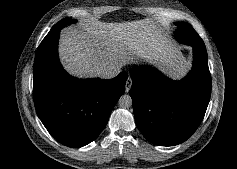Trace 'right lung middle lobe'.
Listing matches in <instances>:
<instances>
[{"label":"right lung middle lobe","mask_w":237,"mask_h":169,"mask_svg":"<svg viewBox=\"0 0 237 169\" xmlns=\"http://www.w3.org/2000/svg\"><path fill=\"white\" fill-rule=\"evenodd\" d=\"M75 20H71L70 18H64L61 21H59L48 34H53L56 32H59L63 27H65L68 24L75 23Z\"/></svg>","instance_id":"dd1d6c3e"}]
</instances>
